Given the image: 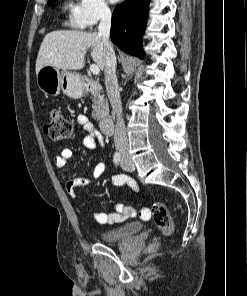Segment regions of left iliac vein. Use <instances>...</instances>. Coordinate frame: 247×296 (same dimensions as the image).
<instances>
[{"instance_id":"left-iliac-vein-1","label":"left iliac vein","mask_w":247,"mask_h":296,"mask_svg":"<svg viewBox=\"0 0 247 296\" xmlns=\"http://www.w3.org/2000/svg\"><path fill=\"white\" fill-rule=\"evenodd\" d=\"M121 167L125 170V171H134L135 170V166L134 163L132 162V160L130 158H123L121 161Z\"/></svg>"}]
</instances>
